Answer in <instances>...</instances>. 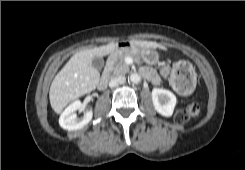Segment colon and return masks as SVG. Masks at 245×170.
Masks as SVG:
<instances>
[{"instance_id":"obj_1","label":"colon","mask_w":245,"mask_h":170,"mask_svg":"<svg viewBox=\"0 0 245 170\" xmlns=\"http://www.w3.org/2000/svg\"><path fill=\"white\" fill-rule=\"evenodd\" d=\"M189 66L186 62H179L172 68L171 82L174 85L182 84L187 80L185 73ZM200 113V105L197 102L189 103L186 108L176 111L175 120L178 124L186 123L191 117H195Z\"/></svg>"}]
</instances>
